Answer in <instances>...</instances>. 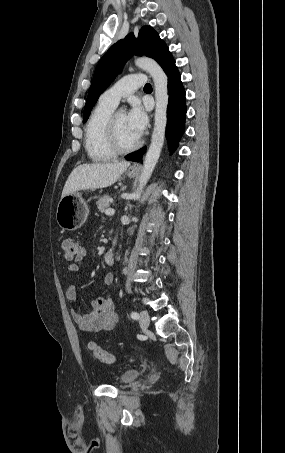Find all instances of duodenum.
Wrapping results in <instances>:
<instances>
[{"instance_id": "obj_1", "label": "duodenum", "mask_w": 285, "mask_h": 453, "mask_svg": "<svg viewBox=\"0 0 285 453\" xmlns=\"http://www.w3.org/2000/svg\"><path fill=\"white\" fill-rule=\"evenodd\" d=\"M114 259H115V253H114V250H113V249L108 250V251L104 254V262H105L107 265H112V264L114 263Z\"/></svg>"}]
</instances>
